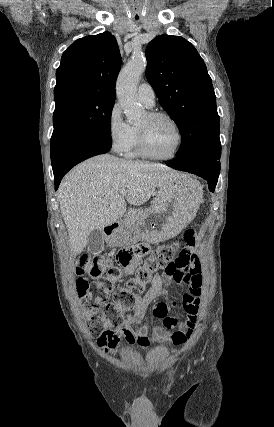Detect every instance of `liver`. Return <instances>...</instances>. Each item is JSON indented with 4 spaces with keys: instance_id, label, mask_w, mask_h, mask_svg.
<instances>
[{
    "instance_id": "1",
    "label": "liver",
    "mask_w": 274,
    "mask_h": 427,
    "mask_svg": "<svg viewBox=\"0 0 274 427\" xmlns=\"http://www.w3.org/2000/svg\"><path fill=\"white\" fill-rule=\"evenodd\" d=\"M180 176L183 174L161 164L131 162L110 154L78 164L66 174L58 190L73 255L83 251L93 229L111 225L122 217L126 202L142 206L156 188H163L171 178ZM119 190H127V196H121Z\"/></svg>"
}]
</instances>
